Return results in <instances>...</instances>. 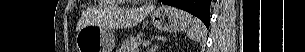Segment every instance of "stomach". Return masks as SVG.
<instances>
[{"instance_id":"obj_1","label":"stomach","mask_w":305,"mask_h":52,"mask_svg":"<svg viewBox=\"0 0 305 52\" xmlns=\"http://www.w3.org/2000/svg\"><path fill=\"white\" fill-rule=\"evenodd\" d=\"M153 26L163 32H181L188 29L192 16L170 6L158 7L151 14ZM79 52H112L115 40L112 32L100 25L92 24L81 28L76 35Z\"/></svg>"}]
</instances>
